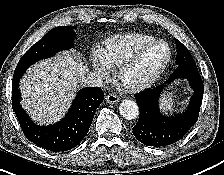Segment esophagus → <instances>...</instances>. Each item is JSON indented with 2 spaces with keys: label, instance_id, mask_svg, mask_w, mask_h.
<instances>
[{
  "label": "esophagus",
  "instance_id": "esophagus-1",
  "mask_svg": "<svg viewBox=\"0 0 224 175\" xmlns=\"http://www.w3.org/2000/svg\"><path fill=\"white\" fill-rule=\"evenodd\" d=\"M106 100L111 104H116L119 102L120 97L114 93H110L109 95H107Z\"/></svg>",
  "mask_w": 224,
  "mask_h": 175
}]
</instances>
